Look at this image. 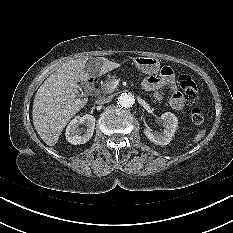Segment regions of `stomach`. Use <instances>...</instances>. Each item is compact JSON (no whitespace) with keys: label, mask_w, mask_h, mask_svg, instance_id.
<instances>
[{"label":"stomach","mask_w":233,"mask_h":233,"mask_svg":"<svg viewBox=\"0 0 233 233\" xmlns=\"http://www.w3.org/2000/svg\"><path fill=\"white\" fill-rule=\"evenodd\" d=\"M135 65L146 74H154L157 73L160 68L159 59L156 57H136L134 59Z\"/></svg>","instance_id":"obj_1"}]
</instances>
